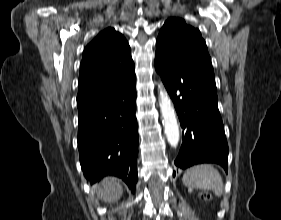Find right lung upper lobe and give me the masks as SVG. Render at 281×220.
<instances>
[{
	"instance_id": "1",
	"label": "right lung upper lobe",
	"mask_w": 281,
	"mask_h": 220,
	"mask_svg": "<svg viewBox=\"0 0 281 220\" xmlns=\"http://www.w3.org/2000/svg\"><path fill=\"white\" fill-rule=\"evenodd\" d=\"M135 79L128 42L114 28H107L85 47L79 73L77 103L119 90Z\"/></svg>"
}]
</instances>
